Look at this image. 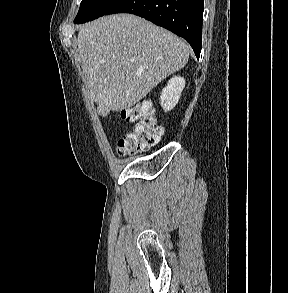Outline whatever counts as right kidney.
<instances>
[{"label": "right kidney", "mask_w": 288, "mask_h": 293, "mask_svg": "<svg viewBox=\"0 0 288 293\" xmlns=\"http://www.w3.org/2000/svg\"><path fill=\"white\" fill-rule=\"evenodd\" d=\"M184 87L185 79L183 77L174 76L168 81L160 96V103L165 112L175 107Z\"/></svg>", "instance_id": "right-kidney-1"}]
</instances>
